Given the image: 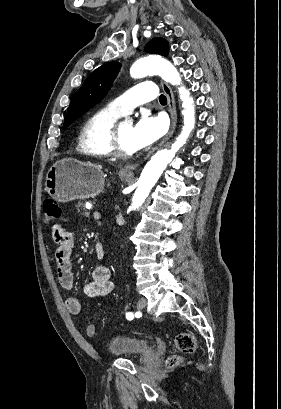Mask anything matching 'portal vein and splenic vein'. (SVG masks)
Returning a JSON list of instances; mask_svg holds the SVG:
<instances>
[{
	"label": "portal vein and splenic vein",
	"mask_w": 281,
	"mask_h": 409,
	"mask_svg": "<svg viewBox=\"0 0 281 409\" xmlns=\"http://www.w3.org/2000/svg\"><path fill=\"white\" fill-rule=\"evenodd\" d=\"M93 216L95 217V219H98L100 217V211L99 210H94L93 211Z\"/></svg>",
	"instance_id": "obj_1"
}]
</instances>
